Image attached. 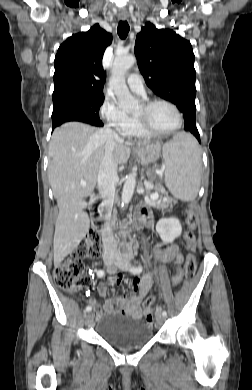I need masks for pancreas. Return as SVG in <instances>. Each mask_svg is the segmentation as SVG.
I'll use <instances>...</instances> for the list:
<instances>
[{
	"label": "pancreas",
	"mask_w": 252,
	"mask_h": 390,
	"mask_svg": "<svg viewBox=\"0 0 252 390\" xmlns=\"http://www.w3.org/2000/svg\"><path fill=\"white\" fill-rule=\"evenodd\" d=\"M176 201L173 199V198H170L169 197V201L168 202H157V209H166L168 207H172L173 204H175Z\"/></svg>",
	"instance_id": "pancreas-1"
}]
</instances>
